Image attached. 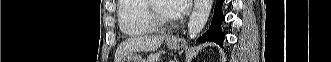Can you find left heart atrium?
Masks as SVG:
<instances>
[{"label":"left heart atrium","instance_id":"obj_1","mask_svg":"<svg viewBox=\"0 0 331 62\" xmlns=\"http://www.w3.org/2000/svg\"><path fill=\"white\" fill-rule=\"evenodd\" d=\"M190 2V0H170L168 1L170 12L173 16H180L188 10Z\"/></svg>","mask_w":331,"mask_h":62}]
</instances>
